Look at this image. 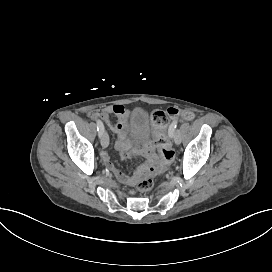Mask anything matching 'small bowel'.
Instances as JSON below:
<instances>
[{
	"mask_svg": "<svg viewBox=\"0 0 272 272\" xmlns=\"http://www.w3.org/2000/svg\"><path fill=\"white\" fill-rule=\"evenodd\" d=\"M106 111L107 113L102 117L104 122L111 128L114 136V148L115 151L119 154L120 159L126 160L137 156L143 158V161L136 166L133 174L130 175L125 173V177L123 179H118L116 177V172L120 169H118L111 161L110 155L107 152L102 153V159L106 169L113 173L120 183L131 185L142 176L147 166L154 163L157 159L158 154L156 151V146L147 138H142L141 141L143 146L138 149L131 150L130 144L132 142V137L126 130L128 120L127 110L124 108V106L117 104L108 107ZM111 114L116 115V121H112Z\"/></svg>",
	"mask_w": 272,
	"mask_h": 272,
	"instance_id": "1",
	"label": "small bowel"
}]
</instances>
